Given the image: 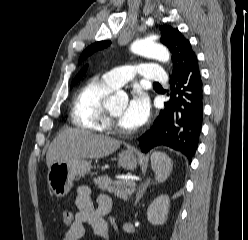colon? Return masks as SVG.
Segmentation results:
<instances>
[{
	"mask_svg": "<svg viewBox=\"0 0 248 240\" xmlns=\"http://www.w3.org/2000/svg\"><path fill=\"white\" fill-rule=\"evenodd\" d=\"M74 212L71 209H64L61 213L62 221L64 225L68 226L71 224L74 218Z\"/></svg>",
	"mask_w": 248,
	"mask_h": 240,
	"instance_id": "obj_1",
	"label": "colon"
}]
</instances>
